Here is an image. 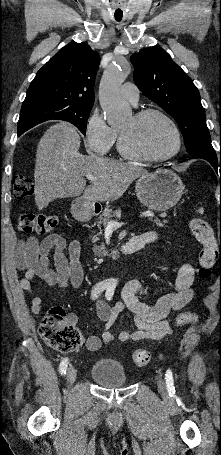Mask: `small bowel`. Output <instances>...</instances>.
Wrapping results in <instances>:
<instances>
[{
  "instance_id": "obj_1",
  "label": "small bowel",
  "mask_w": 221,
  "mask_h": 455,
  "mask_svg": "<svg viewBox=\"0 0 221 455\" xmlns=\"http://www.w3.org/2000/svg\"><path fill=\"white\" fill-rule=\"evenodd\" d=\"M145 246L159 240L158 233L150 231L138 236ZM81 247L77 240L66 244L63 237L50 234L39 241L29 237L19 248L16 256L17 266L24 270L20 287L31 296L32 309L41 310V298L31 286L34 278L42 279L49 286H59L64 289L79 288L83 282V270L80 263ZM194 269L190 264H183L175 280L173 290L154 302H148L141 297L149 294L148 288L139 279L125 283L121 298L110 307L104 300L95 303L98 318L103 323L100 335H92L86 341L90 351H96L101 344L109 345L116 340L110 331L117 317L128 309L134 316L136 330H123L118 334L122 342L139 340H160L172 333L173 329L168 317L173 312L184 308L193 298ZM70 320L75 322L74 316Z\"/></svg>"
}]
</instances>
